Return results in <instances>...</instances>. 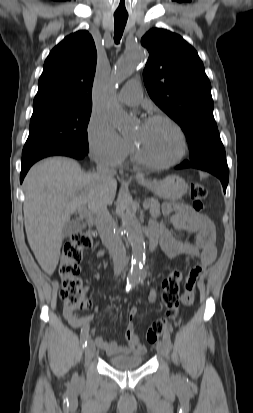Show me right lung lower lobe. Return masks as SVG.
I'll return each mask as SVG.
<instances>
[{"label":"right lung lower lobe","instance_id":"right-lung-lower-lobe-1","mask_svg":"<svg viewBox=\"0 0 253 413\" xmlns=\"http://www.w3.org/2000/svg\"><path fill=\"white\" fill-rule=\"evenodd\" d=\"M88 153L82 152V151H78V150H57L54 152H49V153H45V154H40L37 156H32V157H28L25 159H22L21 165V175H20V182L22 183L26 173L28 172L29 168L38 160L48 157V156H54V155H63V156H68V157H72L75 159H82L84 158Z\"/></svg>","mask_w":253,"mask_h":413}]
</instances>
